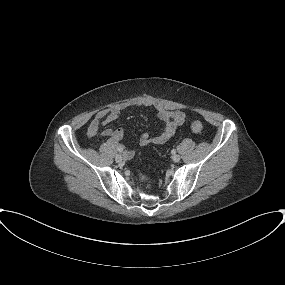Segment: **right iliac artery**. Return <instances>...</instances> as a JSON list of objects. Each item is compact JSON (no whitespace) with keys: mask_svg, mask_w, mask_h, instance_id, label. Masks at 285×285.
Returning <instances> with one entry per match:
<instances>
[{"mask_svg":"<svg viewBox=\"0 0 285 285\" xmlns=\"http://www.w3.org/2000/svg\"><path fill=\"white\" fill-rule=\"evenodd\" d=\"M117 151L122 152V151H123V149H121V148H117Z\"/></svg>","mask_w":285,"mask_h":285,"instance_id":"right-iliac-artery-1","label":"right iliac artery"}]
</instances>
